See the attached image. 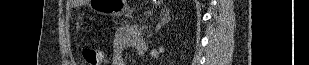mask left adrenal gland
<instances>
[{"label": "left adrenal gland", "instance_id": "1", "mask_svg": "<svg viewBox=\"0 0 309 65\" xmlns=\"http://www.w3.org/2000/svg\"><path fill=\"white\" fill-rule=\"evenodd\" d=\"M170 20V16H169V10H166L164 15L162 16V18L160 19L159 23L157 24L155 31H159V29L164 26L166 23H168V21Z\"/></svg>", "mask_w": 309, "mask_h": 65}]
</instances>
